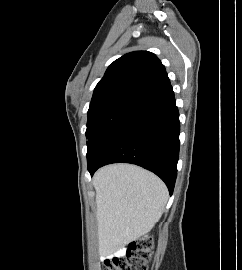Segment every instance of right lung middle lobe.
Wrapping results in <instances>:
<instances>
[{"instance_id":"dd1d6c3e","label":"right lung middle lobe","mask_w":242,"mask_h":270,"mask_svg":"<svg viewBox=\"0 0 242 270\" xmlns=\"http://www.w3.org/2000/svg\"><path fill=\"white\" fill-rule=\"evenodd\" d=\"M129 102H114L88 110L86 137L87 161H92L129 113L136 107Z\"/></svg>"}]
</instances>
